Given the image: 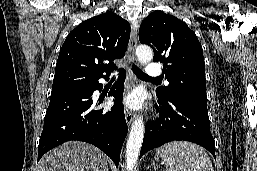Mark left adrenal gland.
<instances>
[{
	"label": "left adrenal gland",
	"instance_id": "left-adrenal-gland-1",
	"mask_svg": "<svg viewBox=\"0 0 257 171\" xmlns=\"http://www.w3.org/2000/svg\"><path fill=\"white\" fill-rule=\"evenodd\" d=\"M149 168H154V170L156 171V166H155V164H151V165L149 166Z\"/></svg>",
	"mask_w": 257,
	"mask_h": 171
}]
</instances>
